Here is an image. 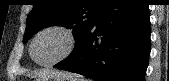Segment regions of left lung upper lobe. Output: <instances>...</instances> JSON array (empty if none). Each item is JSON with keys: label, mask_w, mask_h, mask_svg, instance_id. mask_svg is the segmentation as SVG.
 <instances>
[{"label": "left lung upper lobe", "mask_w": 169, "mask_h": 81, "mask_svg": "<svg viewBox=\"0 0 169 81\" xmlns=\"http://www.w3.org/2000/svg\"><path fill=\"white\" fill-rule=\"evenodd\" d=\"M108 1L35 0L33 9L27 17L23 43L44 27L57 25L73 29L75 50Z\"/></svg>", "instance_id": "left-lung-upper-lobe-1"}]
</instances>
